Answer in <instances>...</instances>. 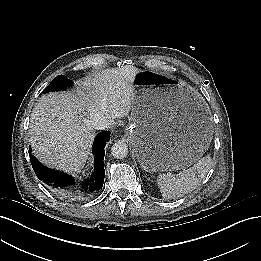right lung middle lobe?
<instances>
[{
	"instance_id": "1",
	"label": "right lung middle lobe",
	"mask_w": 261,
	"mask_h": 261,
	"mask_svg": "<svg viewBox=\"0 0 261 261\" xmlns=\"http://www.w3.org/2000/svg\"><path fill=\"white\" fill-rule=\"evenodd\" d=\"M72 84L73 82L69 80L65 75H59L51 81V83L45 88L43 93L57 90H65Z\"/></svg>"
}]
</instances>
